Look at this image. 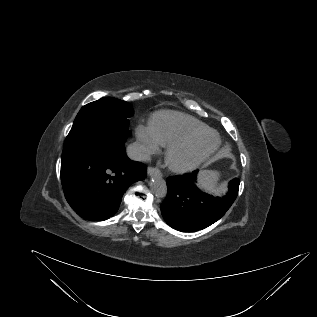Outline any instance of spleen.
<instances>
[{"label":"spleen","mask_w":317,"mask_h":317,"mask_svg":"<svg viewBox=\"0 0 317 317\" xmlns=\"http://www.w3.org/2000/svg\"><path fill=\"white\" fill-rule=\"evenodd\" d=\"M219 179L216 171H202L199 176V185L207 191H214Z\"/></svg>","instance_id":"1"}]
</instances>
